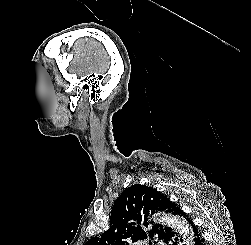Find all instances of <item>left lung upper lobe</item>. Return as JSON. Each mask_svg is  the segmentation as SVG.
<instances>
[{
    "label": "left lung upper lobe",
    "mask_w": 251,
    "mask_h": 245,
    "mask_svg": "<svg viewBox=\"0 0 251 245\" xmlns=\"http://www.w3.org/2000/svg\"><path fill=\"white\" fill-rule=\"evenodd\" d=\"M165 211L181 216L182 210L166 195L156 189L135 184L126 188L116 199L109 221V229L86 242L85 245H130L143 239H153L158 236L166 241L174 233L171 228L153 224L150 230L147 216L149 212ZM152 223V222H151ZM149 245H152L149 241Z\"/></svg>",
    "instance_id": "1"
}]
</instances>
